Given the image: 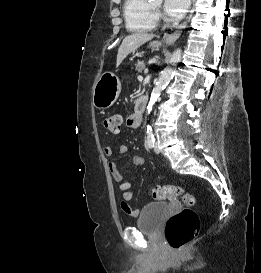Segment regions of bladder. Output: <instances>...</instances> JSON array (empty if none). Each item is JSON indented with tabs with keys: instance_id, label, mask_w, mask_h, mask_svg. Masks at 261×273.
<instances>
[{
	"instance_id": "1",
	"label": "bladder",
	"mask_w": 261,
	"mask_h": 273,
	"mask_svg": "<svg viewBox=\"0 0 261 273\" xmlns=\"http://www.w3.org/2000/svg\"><path fill=\"white\" fill-rule=\"evenodd\" d=\"M169 208L170 205L166 202L146 204L136 222L138 229L146 234H157L168 214Z\"/></svg>"
}]
</instances>
